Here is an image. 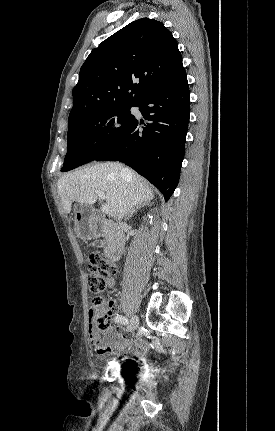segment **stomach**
Wrapping results in <instances>:
<instances>
[{
	"mask_svg": "<svg viewBox=\"0 0 275 431\" xmlns=\"http://www.w3.org/2000/svg\"><path fill=\"white\" fill-rule=\"evenodd\" d=\"M75 232L82 239H90L95 233L92 209L84 204L74 206Z\"/></svg>",
	"mask_w": 275,
	"mask_h": 431,
	"instance_id": "stomach-1",
	"label": "stomach"
}]
</instances>
